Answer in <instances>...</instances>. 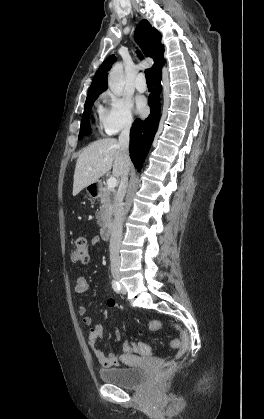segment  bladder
<instances>
[{
    "label": "bladder",
    "instance_id": "31cf9c89",
    "mask_svg": "<svg viewBox=\"0 0 264 419\" xmlns=\"http://www.w3.org/2000/svg\"><path fill=\"white\" fill-rule=\"evenodd\" d=\"M101 380L105 383L121 388L137 387L144 379L145 371L142 367H112L99 371Z\"/></svg>",
    "mask_w": 264,
    "mask_h": 419
}]
</instances>
